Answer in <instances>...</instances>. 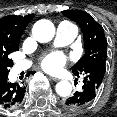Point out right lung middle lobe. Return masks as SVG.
Returning a JSON list of instances; mask_svg holds the SVG:
<instances>
[{"instance_id":"1","label":"right lung middle lobe","mask_w":117,"mask_h":117,"mask_svg":"<svg viewBox=\"0 0 117 117\" xmlns=\"http://www.w3.org/2000/svg\"><path fill=\"white\" fill-rule=\"evenodd\" d=\"M12 64V60L8 58V55L0 58V74L3 76L8 75L9 67H11Z\"/></svg>"}]
</instances>
